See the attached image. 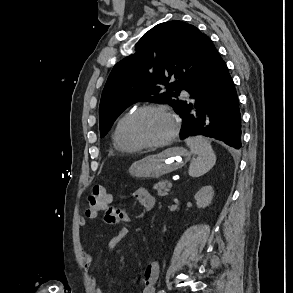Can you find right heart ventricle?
<instances>
[{
    "label": "right heart ventricle",
    "instance_id": "1",
    "mask_svg": "<svg viewBox=\"0 0 293 293\" xmlns=\"http://www.w3.org/2000/svg\"><path fill=\"white\" fill-rule=\"evenodd\" d=\"M129 114L130 112L125 113L117 120L112 133L114 147L121 152H136L141 149L129 143L125 137L124 127Z\"/></svg>",
    "mask_w": 293,
    "mask_h": 293
}]
</instances>
